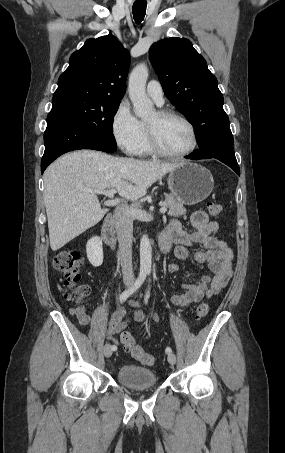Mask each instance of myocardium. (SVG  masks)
I'll return each mask as SVG.
<instances>
[{
    "label": "myocardium",
    "instance_id": "1",
    "mask_svg": "<svg viewBox=\"0 0 285 453\" xmlns=\"http://www.w3.org/2000/svg\"><path fill=\"white\" fill-rule=\"evenodd\" d=\"M156 113L160 119L177 118V119L183 121L190 129L191 136H192V143H191L190 147L183 152L174 153V152L167 151L161 145V142L159 140L156 129L154 127L146 124L148 141H149V145H150L152 151L155 154H158L160 156L168 157V158H175V159L184 158V157L190 155L197 148V145H198V135H197V131H196L194 124L186 116H184L183 114H181L177 111H174V110L163 109V110H158Z\"/></svg>",
    "mask_w": 285,
    "mask_h": 453
}]
</instances>
